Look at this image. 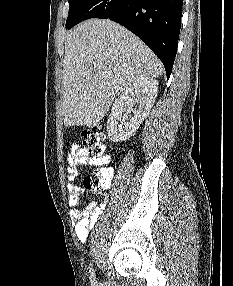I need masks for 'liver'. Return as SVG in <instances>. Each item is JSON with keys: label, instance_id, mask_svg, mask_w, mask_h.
Wrapping results in <instances>:
<instances>
[{"label": "liver", "instance_id": "1", "mask_svg": "<svg viewBox=\"0 0 233 286\" xmlns=\"http://www.w3.org/2000/svg\"><path fill=\"white\" fill-rule=\"evenodd\" d=\"M162 71L151 49L121 25L104 19L80 23L65 41L64 124L96 126L127 86Z\"/></svg>", "mask_w": 233, "mask_h": 286}]
</instances>
